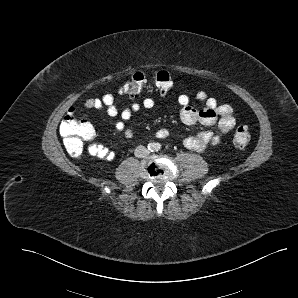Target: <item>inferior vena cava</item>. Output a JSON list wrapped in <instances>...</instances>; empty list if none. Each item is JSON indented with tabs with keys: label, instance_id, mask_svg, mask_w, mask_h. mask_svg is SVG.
<instances>
[{
	"label": "inferior vena cava",
	"instance_id": "1",
	"mask_svg": "<svg viewBox=\"0 0 298 298\" xmlns=\"http://www.w3.org/2000/svg\"><path fill=\"white\" fill-rule=\"evenodd\" d=\"M149 153H150L149 150L143 145L137 146L134 151V155L138 158H144V157L148 156Z\"/></svg>",
	"mask_w": 298,
	"mask_h": 298
}]
</instances>
